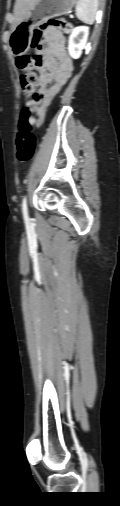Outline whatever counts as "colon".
Masks as SVG:
<instances>
[{
	"mask_svg": "<svg viewBox=\"0 0 120 506\" xmlns=\"http://www.w3.org/2000/svg\"><path fill=\"white\" fill-rule=\"evenodd\" d=\"M49 30L69 33L71 31V24L61 17L48 19L41 27L34 30L32 47H38L45 33ZM37 62L35 57L28 54L20 55L16 58L17 67L23 71L21 85L26 96L20 117L19 133L16 139V157L17 160L22 163L29 161L33 157L36 149V136L33 133V112L40 101L39 93L36 91L39 84V77L34 72Z\"/></svg>",
	"mask_w": 120,
	"mask_h": 506,
	"instance_id": "obj_1",
	"label": "colon"
}]
</instances>
